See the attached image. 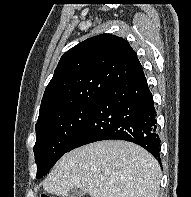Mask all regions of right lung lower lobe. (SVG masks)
Wrapping results in <instances>:
<instances>
[{
    "label": "right lung lower lobe",
    "instance_id": "right-lung-lower-lobe-1",
    "mask_svg": "<svg viewBox=\"0 0 191 197\" xmlns=\"http://www.w3.org/2000/svg\"><path fill=\"white\" fill-rule=\"evenodd\" d=\"M106 139L138 144L160 161L156 111L143 71L105 91L67 152Z\"/></svg>",
    "mask_w": 191,
    "mask_h": 197
}]
</instances>
